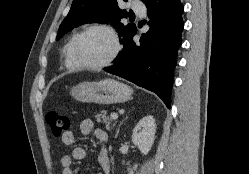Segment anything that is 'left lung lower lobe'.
Segmentation results:
<instances>
[{
  "mask_svg": "<svg viewBox=\"0 0 249 174\" xmlns=\"http://www.w3.org/2000/svg\"><path fill=\"white\" fill-rule=\"evenodd\" d=\"M145 5L150 30L142 34L140 44L133 41L136 33L125 39L116 64L105 71L155 92L170 108L184 9L180 0H148Z\"/></svg>",
  "mask_w": 249,
  "mask_h": 174,
  "instance_id": "obj_1",
  "label": "left lung lower lobe"
}]
</instances>
